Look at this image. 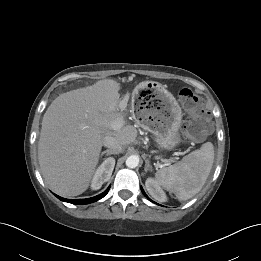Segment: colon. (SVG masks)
I'll return each instance as SVG.
<instances>
[{"mask_svg": "<svg viewBox=\"0 0 261 261\" xmlns=\"http://www.w3.org/2000/svg\"><path fill=\"white\" fill-rule=\"evenodd\" d=\"M178 96L188 114L182 127L183 136L195 140L202 139L212 128L203 99L188 88H182Z\"/></svg>", "mask_w": 261, "mask_h": 261, "instance_id": "5ec220e1", "label": "colon"}]
</instances>
